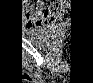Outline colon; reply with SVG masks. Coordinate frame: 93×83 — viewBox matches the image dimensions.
Returning <instances> with one entry per match:
<instances>
[{
	"label": "colon",
	"instance_id": "5ec220e1",
	"mask_svg": "<svg viewBox=\"0 0 93 83\" xmlns=\"http://www.w3.org/2000/svg\"><path fill=\"white\" fill-rule=\"evenodd\" d=\"M27 5L23 8L25 18L32 24L47 25L56 21L67 11V4L61 3L55 7H42L39 2L26 1Z\"/></svg>",
	"mask_w": 93,
	"mask_h": 83
}]
</instances>
